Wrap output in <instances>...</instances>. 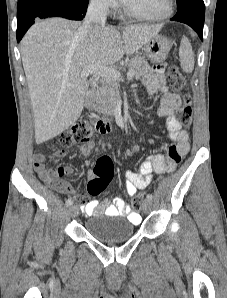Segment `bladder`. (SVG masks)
Here are the masks:
<instances>
[{
    "label": "bladder",
    "mask_w": 227,
    "mask_h": 298,
    "mask_svg": "<svg viewBox=\"0 0 227 298\" xmlns=\"http://www.w3.org/2000/svg\"><path fill=\"white\" fill-rule=\"evenodd\" d=\"M87 232L104 244H115L130 239L135 233V225L127 220H106L103 217L88 219Z\"/></svg>",
    "instance_id": "31cf9c89"
}]
</instances>
